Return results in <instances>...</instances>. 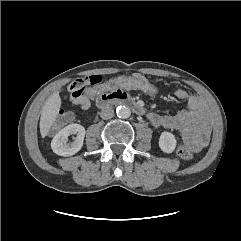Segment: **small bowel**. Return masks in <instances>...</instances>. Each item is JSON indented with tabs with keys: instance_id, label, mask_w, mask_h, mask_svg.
<instances>
[{
	"instance_id": "small-bowel-1",
	"label": "small bowel",
	"mask_w": 241,
	"mask_h": 241,
	"mask_svg": "<svg viewBox=\"0 0 241 241\" xmlns=\"http://www.w3.org/2000/svg\"><path fill=\"white\" fill-rule=\"evenodd\" d=\"M136 76L144 77L141 74ZM145 78V77H144ZM69 91V88H68ZM178 99L186 101L187 107L175 114L149 112L147 118L156 128L176 129L184 144L192 151H200L208 142L211 132V121L203 100L183 89L175 91ZM90 97L72 98L73 104H79L82 110L90 107Z\"/></svg>"
}]
</instances>
